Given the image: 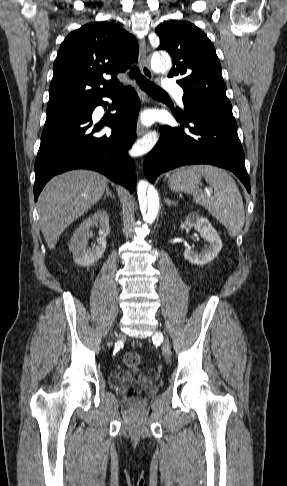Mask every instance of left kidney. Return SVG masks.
<instances>
[{
  "instance_id": "obj_1",
  "label": "left kidney",
  "mask_w": 287,
  "mask_h": 486,
  "mask_svg": "<svg viewBox=\"0 0 287 486\" xmlns=\"http://www.w3.org/2000/svg\"><path fill=\"white\" fill-rule=\"evenodd\" d=\"M188 227H194L200 233V236L206 240L209 245L201 252L194 251L188 246L184 251V257L187 261L195 265H205L217 257L222 248V241L212 227L211 223L205 217H201L198 213H190L184 223H181V230Z\"/></svg>"
}]
</instances>
